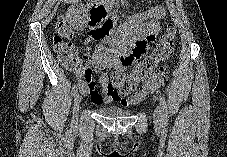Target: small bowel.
<instances>
[{"label": "small bowel", "instance_id": "c3829d8e", "mask_svg": "<svg viewBox=\"0 0 227 157\" xmlns=\"http://www.w3.org/2000/svg\"><path fill=\"white\" fill-rule=\"evenodd\" d=\"M165 16L164 6L157 5L133 14L114 34L96 36L97 32H91L92 37L100 41L93 49L92 63L105 70H112L115 74H124L132 64L125 62H139L143 54H148V44L160 32L161 21ZM73 73L80 92L89 96L94 104L123 101V95L114 89L106 72L99 77L101 89L95 86L94 80L87 78L88 69L83 66L81 60L75 62ZM128 75L131 78V89L144 78L137 75L135 69Z\"/></svg>", "mask_w": 227, "mask_h": 157}]
</instances>
